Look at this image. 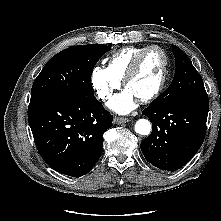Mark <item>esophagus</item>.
<instances>
[{"label": "esophagus", "instance_id": "obj_1", "mask_svg": "<svg viewBox=\"0 0 221 221\" xmlns=\"http://www.w3.org/2000/svg\"><path fill=\"white\" fill-rule=\"evenodd\" d=\"M113 121H114L115 124H123V123L129 122L130 119L125 118V117H115Z\"/></svg>", "mask_w": 221, "mask_h": 221}]
</instances>
